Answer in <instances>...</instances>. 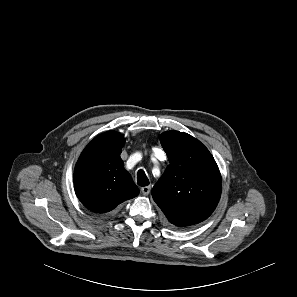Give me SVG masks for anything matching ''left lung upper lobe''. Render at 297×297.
Wrapping results in <instances>:
<instances>
[{"instance_id": "5c2ea615", "label": "left lung upper lobe", "mask_w": 297, "mask_h": 297, "mask_svg": "<svg viewBox=\"0 0 297 297\" xmlns=\"http://www.w3.org/2000/svg\"><path fill=\"white\" fill-rule=\"evenodd\" d=\"M160 142L170 164L152 189L154 201L173 225L186 227L204 221L221 195V175L213 156L184 132H165Z\"/></svg>"}]
</instances>
